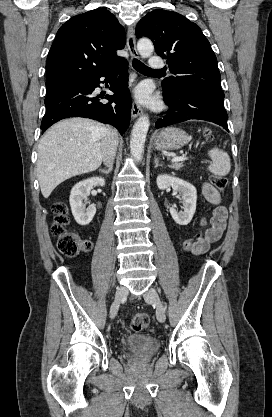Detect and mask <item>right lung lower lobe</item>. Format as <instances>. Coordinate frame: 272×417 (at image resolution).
Masks as SVG:
<instances>
[{
	"label": "right lung lower lobe",
	"instance_id": "98d812e1",
	"mask_svg": "<svg viewBox=\"0 0 272 417\" xmlns=\"http://www.w3.org/2000/svg\"><path fill=\"white\" fill-rule=\"evenodd\" d=\"M128 66L123 58L105 71L77 82L56 86L47 93L46 113L42 119V133L55 122L69 117H87L115 126L125 133L131 118V96L127 87ZM108 82L114 95H95L100 78ZM109 100L108 103L101 102Z\"/></svg>",
	"mask_w": 272,
	"mask_h": 417
}]
</instances>
